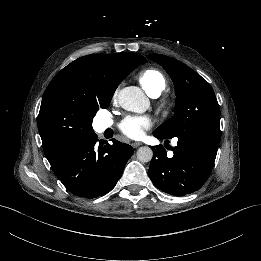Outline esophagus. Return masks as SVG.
Listing matches in <instances>:
<instances>
[{"label": "esophagus", "mask_w": 261, "mask_h": 261, "mask_svg": "<svg viewBox=\"0 0 261 261\" xmlns=\"http://www.w3.org/2000/svg\"><path fill=\"white\" fill-rule=\"evenodd\" d=\"M141 144H142L141 142H133V143L131 144V146H132L133 148H137V147H139Z\"/></svg>", "instance_id": "esophagus-1"}]
</instances>
